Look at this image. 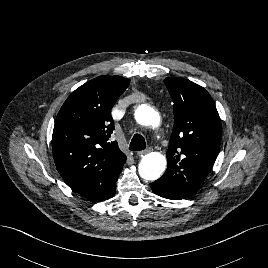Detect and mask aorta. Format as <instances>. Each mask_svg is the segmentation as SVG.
<instances>
[{"mask_svg": "<svg viewBox=\"0 0 268 268\" xmlns=\"http://www.w3.org/2000/svg\"><path fill=\"white\" fill-rule=\"evenodd\" d=\"M136 121L143 126L157 128L160 126L161 118L159 113L147 104L140 105L135 111ZM167 161L164 155L158 152H151L143 156L139 166V175L148 181H154L161 177L166 169Z\"/></svg>", "mask_w": 268, "mask_h": 268, "instance_id": "obj_1", "label": "aorta"}]
</instances>
